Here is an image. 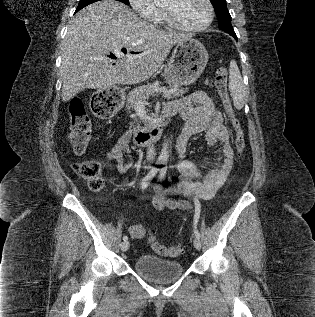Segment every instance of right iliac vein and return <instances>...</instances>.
Segmentation results:
<instances>
[{
	"label": "right iliac vein",
	"instance_id": "1",
	"mask_svg": "<svg viewBox=\"0 0 315 317\" xmlns=\"http://www.w3.org/2000/svg\"><path fill=\"white\" fill-rule=\"evenodd\" d=\"M129 241H124V242H122L121 243V250L123 251V252H125V251H127L128 250V248H129Z\"/></svg>",
	"mask_w": 315,
	"mask_h": 317
}]
</instances>
